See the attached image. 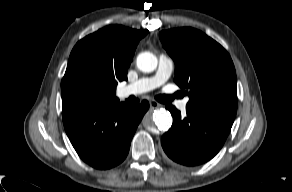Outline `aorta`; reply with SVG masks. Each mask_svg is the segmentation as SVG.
<instances>
[{
    "label": "aorta",
    "mask_w": 292,
    "mask_h": 192,
    "mask_svg": "<svg viewBox=\"0 0 292 192\" xmlns=\"http://www.w3.org/2000/svg\"><path fill=\"white\" fill-rule=\"evenodd\" d=\"M137 67L142 72H152L157 67V58L150 52H142L137 57ZM144 126L149 130L157 128L160 131H167L172 125V116L165 109L154 111L153 116H146L143 120Z\"/></svg>",
    "instance_id": "obj_1"
}]
</instances>
